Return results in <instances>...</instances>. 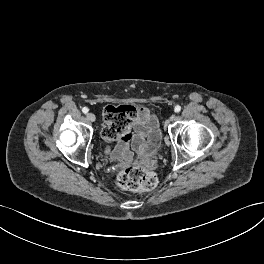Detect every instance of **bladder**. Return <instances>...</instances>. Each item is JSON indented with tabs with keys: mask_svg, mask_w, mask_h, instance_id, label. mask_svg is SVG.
Returning <instances> with one entry per match:
<instances>
[{
	"mask_svg": "<svg viewBox=\"0 0 264 264\" xmlns=\"http://www.w3.org/2000/svg\"><path fill=\"white\" fill-rule=\"evenodd\" d=\"M161 147H162V143H161V138H160L158 143H157V146H156V149H155V153L159 152Z\"/></svg>",
	"mask_w": 264,
	"mask_h": 264,
	"instance_id": "bladder-1",
	"label": "bladder"
}]
</instances>
